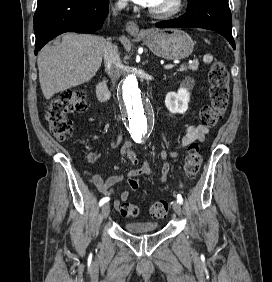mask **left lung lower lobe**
I'll use <instances>...</instances> for the list:
<instances>
[{"instance_id": "1", "label": "left lung lower lobe", "mask_w": 272, "mask_h": 282, "mask_svg": "<svg viewBox=\"0 0 272 282\" xmlns=\"http://www.w3.org/2000/svg\"><path fill=\"white\" fill-rule=\"evenodd\" d=\"M160 28L199 27L224 36L235 49L228 0H188L187 12L178 19L156 24Z\"/></svg>"}]
</instances>
